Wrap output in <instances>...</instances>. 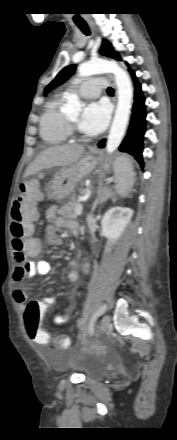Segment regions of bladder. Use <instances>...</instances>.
I'll list each match as a JSON object with an SVG mask.
<instances>
[{"instance_id": "obj_1", "label": "bladder", "mask_w": 177, "mask_h": 440, "mask_svg": "<svg viewBox=\"0 0 177 440\" xmlns=\"http://www.w3.org/2000/svg\"><path fill=\"white\" fill-rule=\"evenodd\" d=\"M64 362L86 379H100L104 375L105 366L101 355L71 352L64 357Z\"/></svg>"}]
</instances>
